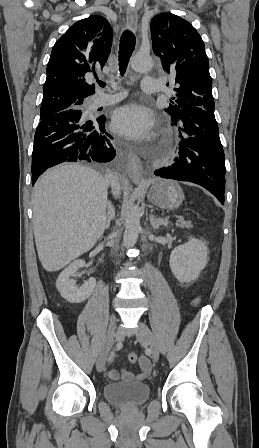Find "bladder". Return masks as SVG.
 <instances>
[{
	"instance_id": "31cf9c89",
	"label": "bladder",
	"mask_w": 259,
	"mask_h": 448,
	"mask_svg": "<svg viewBox=\"0 0 259 448\" xmlns=\"http://www.w3.org/2000/svg\"><path fill=\"white\" fill-rule=\"evenodd\" d=\"M104 396L114 406L131 409L148 400L150 387L146 383H109L104 386Z\"/></svg>"
}]
</instances>
